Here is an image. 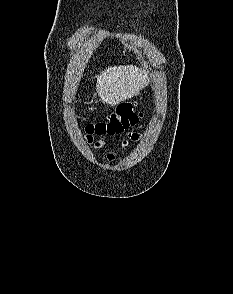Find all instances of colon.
I'll return each instance as SVG.
<instances>
[{
  "instance_id": "5ec220e1",
  "label": "colon",
  "mask_w": 233,
  "mask_h": 294,
  "mask_svg": "<svg viewBox=\"0 0 233 294\" xmlns=\"http://www.w3.org/2000/svg\"><path fill=\"white\" fill-rule=\"evenodd\" d=\"M139 120V115L133 110L129 103L121 104L116 114H114L107 122H98L88 126L89 134L97 135H118L125 129L135 125Z\"/></svg>"
}]
</instances>
